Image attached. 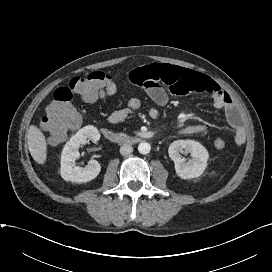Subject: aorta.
<instances>
[{"instance_id":"aorta-1","label":"aorta","mask_w":272,"mask_h":272,"mask_svg":"<svg viewBox=\"0 0 272 272\" xmlns=\"http://www.w3.org/2000/svg\"><path fill=\"white\" fill-rule=\"evenodd\" d=\"M151 150V146L149 143L147 142H141L139 145H138V151L139 153L141 154H148Z\"/></svg>"}]
</instances>
